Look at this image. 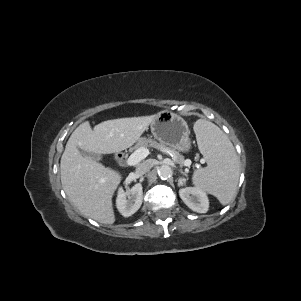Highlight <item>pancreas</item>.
<instances>
[{"mask_svg": "<svg viewBox=\"0 0 301 301\" xmlns=\"http://www.w3.org/2000/svg\"><path fill=\"white\" fill-rule=\"evenodd\" d=\"M141 147H153L156 148L162 152H171L174 156V161L180 165L184 164V157L182 155H180L177 151H175L174 149H172L171 147L166 146L163 143H158L157 141L151 139V138H146V137H142L138 140V142L136 143V145L133 147L134 150H137Z\"/></svg>", "mask_w": 301, "mask_h": 301, "instance_id": "pancreas-1", "label": "pancreas"}]
</instances>
